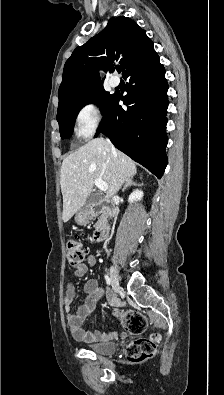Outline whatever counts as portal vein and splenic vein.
I'll list each match as a JSON object with an SVG mask.
<instances>
[{
  "label": "portal vein and splenic vein",
  "mask_w": 224,
  "mask_h": 395,
  "mask_svg": "<svg viewBox=\"0 0 224 395\" xmlns=\"http://www.w3.org/2000/svg\"><path fill=\"white\" fill-rule=\"evenodd\" d=\"M94 183L101 191H107L108 190V184L106 182H104L103 180L95 179Z\"/></svg>",
  "instance_id": "portal-vein-and-splenic-vein-1"
}]
</instances>
